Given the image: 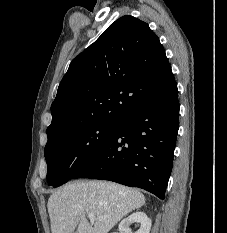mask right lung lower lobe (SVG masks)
Returning a JSON list of instances; mask_svg holds the SVG:
<instances>
[{
    "mask_svg": "<svg viewBox=\"0 0 227 233\" xmlns=\"http://www.w3.org/2000/svg\"><path fill=\"white\" fill-rule=\"evenodd\" d=\"M176 82L119 122L114 135L73 178L110 180L164 199L178 133Z\"/></svg>",
    "mask_w": 227,
    "mask_h": 233,
    "instance_id": "1",
    "label": "right lung lower lobe"
}]
</instances>
